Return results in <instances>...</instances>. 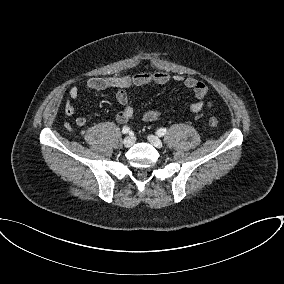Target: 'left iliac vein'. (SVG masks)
<instances>
[{
    "instance_id": "obj_1",
    "label": "left iliac vein",
    "mask_w": 284,
    "mask_h": 284,
    "mask_svg": "<svg viewBox=\"0 0 284 284\" xmlns=\"http://www.w3.org/2000/svg\"><path fill=\"white\" fill-rule=\"evenodd\" d=\"M148 140H149V142H150L154 147H156V148H161L162 145H163L161 139L158 138V137L155 136V135H149V136H148Z\"/></svg>"
}]
</instances>
